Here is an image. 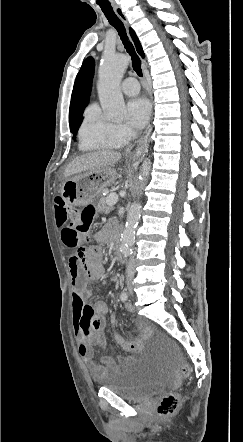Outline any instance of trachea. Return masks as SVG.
Wrapping results in <instances>:
<instances>
[{
	"mask_svg": "<svg viewBox=\"0 0 243 442\" xmlns=\"http://www.w3.org/2000/svg\"><path fill=\"white\" fill-rule=\"evenodd\" d=\"M103 13L109 23L117 30L120 39L132 59L133 70L138 76L142 77L141 61L137 55L132 42L129 40L123 22L117 17L111 6H101Z\"/></svg>",
	"mask_w": 243,
	"mask_h": 442,
	"instance_id": "1",
	"label": "trachea"
}]
</instances>
